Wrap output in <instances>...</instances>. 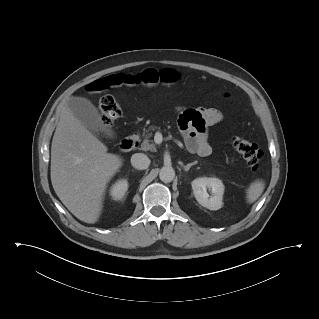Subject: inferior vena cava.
<instances>
[{"label": "inferior vena cava", "instance_id": "1", "mask_svg": "<svg viewBox=\"0 0 319 319\" xmlns=\"http://www.w3.org/2000/svg\"><path fill=\"white\" fill-rule=\"evenodd\" d=\"M131 164L138 170L147 169L150 165V159L143 153L133 154L131 157Z\"/></svg>", "mask_w": 319, "mask_h": 319}]
</instances>
